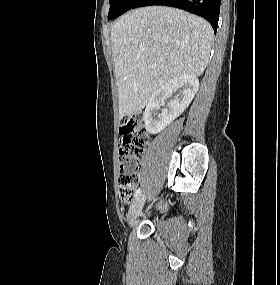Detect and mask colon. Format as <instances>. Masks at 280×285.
<instances>
[{"label": "colon", "mask_w": 280, "mask_h": 285, "mask_svg": "<svg viewBox=\"0 0 280 285\" xmlns=\"http://www.w3.org/2000/svg\"><path fill=\"white\" fill-rule=\"evenodd\" d=\"M119 147V197L124 203H130L138 184V164L144 155L147 133L142 113H133L124 117L120 123Z\"/></svg>", "instance_id": "5ec220e1"}]
</instances>
